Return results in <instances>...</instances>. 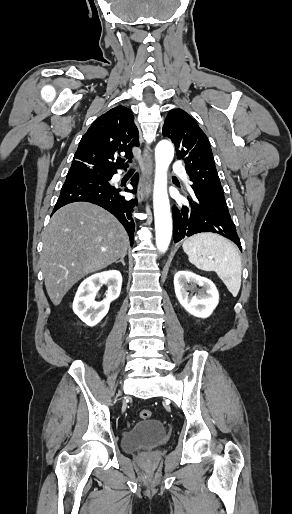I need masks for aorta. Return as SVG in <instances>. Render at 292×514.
Listing matches in <instances>:
<instances>
[{
  "label": "aorta",
  "mask_w": 292,
  "mask_h": 514,
  "mask_svg": "<svg viewBox=\"0 0 292 514\" xmlns=\"http://www.w3.org/2000/svg\"><path fill=\"white\" fill-rule=\"evenodd\" d=\"M174 146L162 140L155 148L154 218L156 246L159 252H166L172 236V218L167 194V172L173 160Z\"/></svg>",
  "instance_id": "762f6f07"
}]
</instances>
